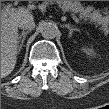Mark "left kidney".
Returning a JSON list of instances; mask_svg holds the SVG:
<instances>
[{
  "instance_id": "5707ae66",
  "label": "left kidney",
  "mask_w": 109,
  "mask_h": 109,
  "mask_svg": "<svg viewBox=\"0 0 109 109\" xmlns=\"http://www.w3.org/2000/svg\"><path fill=\"white\" fill-rule=\"evenodd\" d=\"M83 51L87 54V55H94L95 52L92 48H83Z\"/></svg>"
}]
</instances>
